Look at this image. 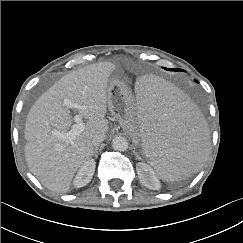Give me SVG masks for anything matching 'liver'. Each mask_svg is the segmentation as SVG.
Instances as JSON below:
<instances>
[{
    "instance_id": "6515ba94",
    "label": "liver",
    "mask_w": 243,
    "mask_h": 243,
    "mask_svg": "<svg viewBox=\"0 0 243 243\" xmlns=\"http://www.w3.org/2000/svg\"><path fill=\"white\" fill-rule=\"evenodd\" d=\"M115 69L110 62H100L74 70L43 93L30 109L24 131L26 162L49 190L68 192L75 173L91 159L92 137L108 131V84ZM65 99L78 104L79 115L87 119L85 130L71 142L54 134L66 133L72 122L70 111L63 105Z\"/></svg>"
}]
</instances>
